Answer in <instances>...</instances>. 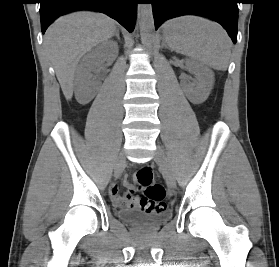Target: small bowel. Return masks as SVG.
<instances>
[{"label": "small bowel", "instance_id": "small-bowel-1", "mask_svg": "<svg viewBox=\"0 0 279 267\" xmlns=\"http://www.w3.org/2000/svg\"><path fill=\"white\" fill-rule=\"evenodd\" d=\"M124 186L128 190V193L125 195H121L119 193V189L116 184H113L110 187L109 191H110L111 200L113 204H115L116 206H125V207L132 208L136 206V204L138 203V199L132 195L133 187L127 178L124 180Z\"/></svg>", "mask_w": 279, "mask_h": 267}]
</instances>
